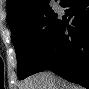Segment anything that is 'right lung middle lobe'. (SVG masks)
I'll list each match as a JSON object with an SVG mask.
<instances>
[{
    "mask_svg": "<svg viewBox=\"0 0 89 89\" xmlns=\"http://www.w3.org/2000/svg\"><path fill=\"white\" fill-rule=\"evenodd\" d=\"M55 17L48 4L43 11L26 16L10 27L21 79L37 72L60 23Z\"/></svg>",
    "mask_w": 89,
    "mask_h": 89,
    "instance_id": "dd1d6c3e",
    "label": "right lung middle lobe"
}]
</instances>
